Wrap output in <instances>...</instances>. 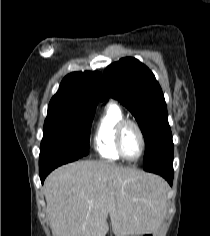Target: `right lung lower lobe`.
Here are the masks:
<instances>
[{
  "label": "right lung lower lobe",
  "mask_w": 210,
  "mask_h": 236,
  "mask_svg": "<svg viewBox=\"0 0 210 236\" xmlns=\"http://www.w3.org/2000/svg\"><path fill=\"white\" fill-rule=\"evenodd\" d=\"M79 158H71L67 156H60V155H50L44 158L39 159V173L40 179L43 183L46 176L55 168L60 165L78 160Z\"/></svg>",
  "instance_id": "98d812e1"
}]
</instances>
